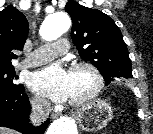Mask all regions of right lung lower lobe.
<instances>
[{
  "instance_id": "98d812e1",
  "label": "right lung lower lobe",
  "mask_w": 153,
  "mask_h": 134,
  "mask_svg": "<svg viewBox=\"0 0 153 134\" xmlns=\"http://www.w3.org/2000/svg\"><path fill=\"white\" fill-rule=\"evenodd\" d=\"M30 103L24 87L18 90L0 88V126L9 127L24 134H44L49 121L39 127L29 124Z\"/></svg>"
}]
</instances>
